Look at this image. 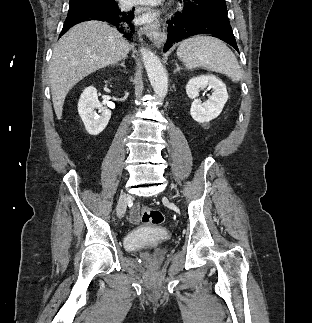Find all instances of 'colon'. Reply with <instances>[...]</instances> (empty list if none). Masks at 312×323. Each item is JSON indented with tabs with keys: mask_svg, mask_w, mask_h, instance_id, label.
I'll list each match as a JSON object with an SVG mask.
<instances>
[{
	"mask_svg": "<svg viewBox=\"0 0 312 323\" xmlns=\"http://www.w3.org/2000/svg\"><path fill=\"white\" fill-rule=\"evenodd\" d=\"M141 220L144 223L152 225H160L164 222V214L155 208L142 205L140 207Z\"/></svg>",
	"mask_w": 312,
	"mask_h": 323,
	"instance_id": "5ec220e1",
	"label": "colon"
}]
</instances>
